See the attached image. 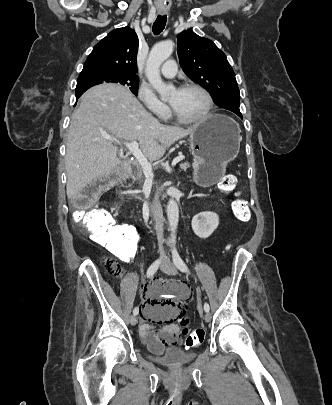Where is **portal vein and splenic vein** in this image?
Here are the masks:
<instances>
[{"label": "portal vein and splenic vein", "instance_id": "18ae733b", "mask_svg": "<svg viewBox=\"0 0 332 405\" xmlns=\"http://www.w3.org/2000/svg\"><path fill=\"white\" fill-rule=\"evenodd\" d=\"M104 138L106 140L115 142L117 144L120 143V141L117 138H113L108 134L104 135ZM123 145L129 150V152H131L133 154V156L137 159V161L139 162V164L141 165L144 175L147 178H152L153 177V171H152V165L150 164V162L146 159V157L143 155V153L141 152V150L139 149V143L137 141H132V142H123ZM184 156H178L176 157L173 162H172V166H175L178 162H180L181 160H183ZM185 168V167H182Z\"/></svg>", "mask_w": 332, "mask_h": 405}]
</instances>
